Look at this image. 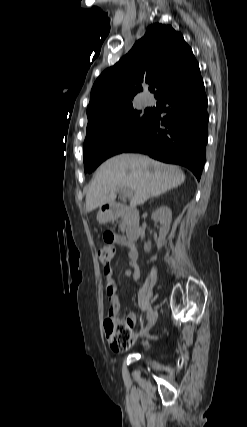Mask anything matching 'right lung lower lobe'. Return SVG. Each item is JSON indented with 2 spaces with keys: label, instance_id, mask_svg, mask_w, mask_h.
Here are the masks:
<instances>
[{
  "label": "right lung lower lobe",
  "instance_id": "obj_1",
  "mask_svg": "<svg viewBox=\"0 0 247 427\" xmlns=\"http://www.w3.org/2000/svg\"><path fill=\"white\" fill-rule=\"evenodd\" d=\"M157 105L165 116L160 119L152 114L145 133L124 152L183 165L199 180L206 161L209 119L199 68L173 85Z\"/></svg>",
  "mask_w": 247,
  "mask_h": 427
}]
</instances>
